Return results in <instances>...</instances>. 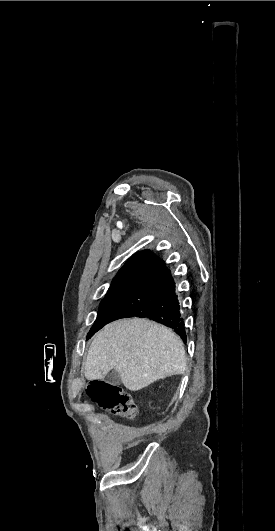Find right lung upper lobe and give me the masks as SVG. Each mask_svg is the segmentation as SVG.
Instances as JSON below:
<instances>
[{
  "label": "right lung upper lobe",
  "mask_w": 275,
  "mask_h": 531,
  "mask_svg": "<svg viewBox=\"0 0 275 531\" xmlns=\"http://www.w3.org/2000/svg\"><path fill=\"white\" fill-rule=\"evenodd\" d=\"M156 259L150 251L144 250L135 255H133L125 265L119 270L118 273L133 271V270H145L148 268Z\"/></svg>",
  "instance_id": "right-lung-upper-lobe-1"
}]
</instances>
